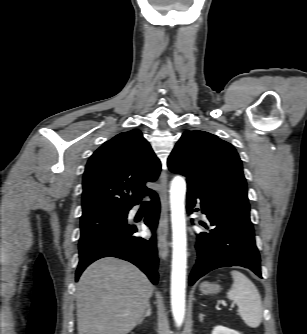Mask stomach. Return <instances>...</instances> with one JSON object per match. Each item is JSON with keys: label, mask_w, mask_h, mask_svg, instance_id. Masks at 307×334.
<instances>
[{"label": "stomach", "mask_w": 307, "mask_h": 334, "mask_svg": "<svg viewBox=\"0 0 307 334\" xmlns=\"http://www.w3.org/2000/svg\"><path fill=\"white\" fill-rule=\"evenodd\" d=\"M200 289L204 294H213L217 293L220 290V287L217 284L205 282L201 284Z\"/></svg>", "instance_id": "1"}]
</instances>
